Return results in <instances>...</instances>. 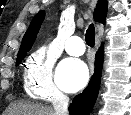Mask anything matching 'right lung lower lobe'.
Returning a JSON list of instances; mask_svg holds the SVG:
<instances>
[{
    "instance_id": "right-lung-lower-lobe-1",
    "label": "right lung lower lobe",
    "mask_w": 131,
    "mask_h": 115,
    "mask_svg": "<svg viewBox=\"0 0 131 115\" xmlns=\"http://www.w3.org/2000/svg\"><path fill=\"white\" fill-rule=\"evenodd\" d=\"M103 64L102 46L95 57V72L91 78L89 85L82 94L77 95L69 107L71 115H88L92 109L100 86L101 68Z\"/></svg>"
}]
</instances>
